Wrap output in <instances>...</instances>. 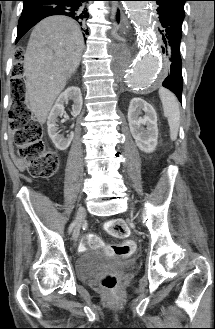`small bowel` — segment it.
<instances>
[{
	"label": "small bowel",
	"instance_id": "obj_1",
	"mask_svg": "<svg viewBox=\"0 0 215 329\" xmlns=\"http://www.w3.org/2000/svg\"><path fill=\"white\" fill-rule=\"evenodd\" d=\"M16 163L18 164V166H19L20 168H22V169L25 168V165H24V164L22 163V161L19 160L18 158L16 159Z\"/></svg>",
	"mask_w": 215,
	"mask_h": 329
}]
</instances>
